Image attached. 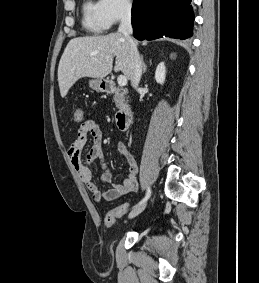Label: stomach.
Returning a JSON list of instances; mask_svg holds the SVG:
<instances>
[{"label":"stomach","instance_id":"stomach-1","mask_svg":"<svg viewBox=\"0 0 259 283\" xmlns=\"http://www.w3.org/2000/svg\"><path fill=\"white\" fill-rule=\"evenodd\" d=\"M89 86L96 92H105L107 89V82L103 79H92L89 81Z\"/></svg>","mask_w":259,"mask_h":283}]
</instances>
